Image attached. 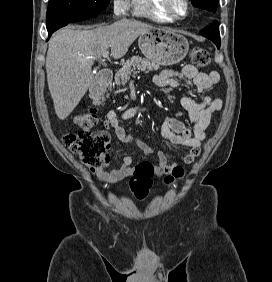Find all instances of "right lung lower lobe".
<instances>
[{
	"label": "right lung lower lobe",
	"mask_w": 272,
	"mask_h": 282,
	"mask_svg": "<svg viewBox=\"0 0 272 282\" xmlns=\"http://www.w3.org/2000/svg\"><path fill=\"white\" fill-rule=\"evenodd\" d=\"M99 13L100 12H81V13H77L71 16L60 17V18L51 20L50 22H47V30H48L49 37L52 35L53 32H55L56 30H58L59 28L63 26H66L68 23L82 21V20L94 17L98 15Z\"/></svg>",
	"instance_id": "1"
}]
</instances>
